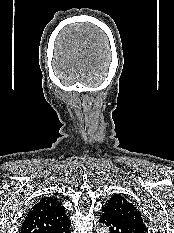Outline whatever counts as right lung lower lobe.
<instances>
[{
  "label": "right lung lower lobe",
  "mask_w": 174,
  "mask_h": 233,
  "mask_svg": "<svg viewBox=\"0 0 174 233\" xmlns=\"http://www.w3.org/2000/svg\"><path fill=\"white\" fill-rule=\"evenodd\" d=\"M53 233H70V224L67 225L66 227L53 231Z\"/></svg>",
  "instance_id": "obj_1"
}]
</instances>
